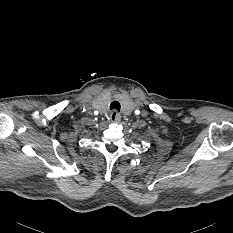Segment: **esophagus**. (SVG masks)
Returning <instances> with one entry per match:
<instances>
[{
	"label": "esophagus",
	"instance_id": "esophagus-1",
	"mask_svg": "<svg viewBox=\"0 0 233 233\" xmlns=\"http://www.w3.org/2000/svg\"><path fill=\"white\" fill-rule=\"evenodd\" d=\"M120 114L117 112V111H112L110 113V121L113 122V123H118L120 121Z\"/></svg>",
	"mask_w": 233,
	"mask_h": 233
}]
</instances>
